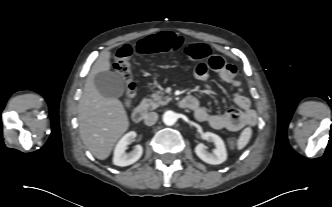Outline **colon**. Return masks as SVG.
I'll return each instance as SVG.
<instances>
[{"mask_svg": "<svg viewBox=\"0 0 332 207\" xmlns=\"http://www.w3.org/2000/svg\"><path fill=\"white\" fill-rule=\"evenodd\" d=\"M182 48L184 55L193 61H199L206 58H213L216 55L211 54L208 45L203 43H186L181 36L172 33H163L149 36L136 45V52L140 54L168 52ZM133 48L129 44L120 46L113 55L115 68L121 75L125 83L126 96L128 99L133 98L136 85L132 74L131 56ZM233 145L234 141H230Z\"/></svg>", "mask_w": 332, "mask_h": 207, "instance_id": "5ec220e1", "label": "colon"}]
</instances>
